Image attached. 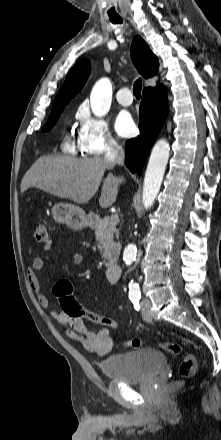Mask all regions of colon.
Returning <instances> with one entry per match:
<instances>
[{"mask_svg":"<svg viewBox=\"0 0 221 440\" xmlns=\"http://www.w3.org/2000/svg\"><path fill=\"white\" fill-rule=\"evenodd\" d=\"M34 236L36 241L40 244L50 245L51 243L50 235L43 223H35ZM72 291L71 282L68 280L58 281L53 288V293L59 300L58 305L61 309V313L62 315H66L68 321H78L79 318H84L86 321H94L95 324H102L103 329L121 330L122 327L117 318H113L111 315H102L101 312H89L88 309H84L83 303H80L77 297H73ZM126 346L139 348L142 346V341L139 338H132L126 342ZM161 347L164 351L172 355L183 354L182 347L174 342L162 343ZM196 372L197 362L194 355L184 353L179 367L181 378H191ZM182 383L183 381H175L172 383L171 388H177L181 386Z\"/></svg>","mask_w":221,"mask_h":440,"instance_id":"1","label":"colon"}]
</instances>
